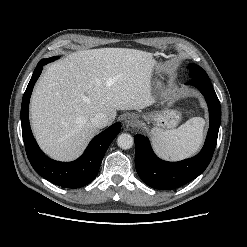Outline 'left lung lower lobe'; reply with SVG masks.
Masks as SVG:
<instances>
[{
    "instance_id": "obj_1",
    "label": "left lung lower lobe",
    "mask_w": 247,
    "mask_h": 247,
    "mask_svg": "<svg viewBox=\"0 0 247 247\" xmlns=\"http://www.w3.org/2000/svg\"><path fill=\"white\" fill-rule=\"evenodd\" d=\"M186 84L198 88L206 99L210 113V127L206 141L200 153L193 158L167 162L154 154L148 138L140 134L135 135L137 173L145 184L155 189H175L198 177L209 165L216 147L221 122V106L213 86L210 81L197 78H191Z\"/></svg>"
}]
</instances>
